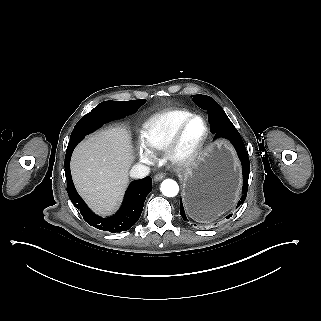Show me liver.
Segmentation results:
<instances>
[{"instance_id": "1", "label": "liver", "mask_w": 321, "mask_h": 321, "mask_svg": "<svg viewBox=\"0 0 321 321\" xmlns=\"http://www.w3.org/2000/svg\"><path fill=\"white\" fill-rule=\"evenodd\" d=\"M133 160L131 136L122 125L98 131L75 148L70 163L72 178L97 214L105 216L117 209Z\"/></svg>"}]
</instances>
